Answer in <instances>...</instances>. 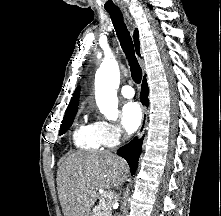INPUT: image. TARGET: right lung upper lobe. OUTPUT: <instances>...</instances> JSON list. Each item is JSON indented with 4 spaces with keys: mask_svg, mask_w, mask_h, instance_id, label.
<instances>
[{
    "mask_svg": "<svg viewBox=\"0 0 221 216\" xmlns=\"http://www.w3.org/2000/svg\"><path fill=\"white\" fill-rule=\"evenodd\" d=\"M134 44H135V49L137 54H139V48H140V43H139V39H138V31L137 29L134 32ZM79 94H80V89L79 87L75 90L73 97L69 103V106L66 110L65 115H68L70 113H74L77 112L78 110V104H79Z\"/></svg>",
    "mask_w": 221,
    "mask_h": 216,
    "instance_id": "obj_1",
    "label": "right lung upper lobe"
}]
</instances>
